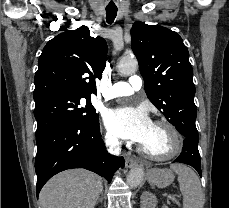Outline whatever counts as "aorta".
Returning <instances> with one entry per match:
<instances>
[{"mask_svg":"<svg viewBox=\"0 0 229 208\" xmlns=\"http://www.w3.org/2000/svg\"><path fill=\"white\" fill-rule=\"evenodd\" d=\"M137 61L132 58H123L118 64V71L122 75H131L137 69ZM144 180L143 168L136 167L130 170L127 176V183L131 188H136Z\"/></svg>","mask_w":229,"mask_h":208,"instance_id":"obj_1","label":"aorta"}]
</instances>
